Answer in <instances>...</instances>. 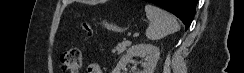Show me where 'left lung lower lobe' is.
I'll list each match as a JSON object with an SVG mask.
<instances>
[{
    "instance_id": "obj_1",
    "label": "left lung lower lobe",
    "mask_w": 244,
    "mask_h": 73,
    "mask_svg": "<svg viewBox=\"0 0 244 73\" xmlns=\"http://www.w3.org/2000/svg\"><path fill=\"white\" fill-rule=\"evenodd\" d=\"M176 15L185 24L186 29L190 26L197 0H146Z\"/></svg>"
}]
</instances>
